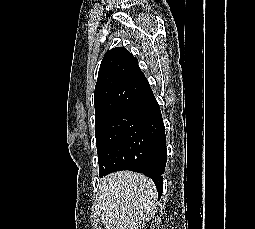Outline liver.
Segmentation results:
<instances>
[{
    "mask_svg": "<svg viewBox=\"0 0 255 229\" xmlns=\"http://www.w3.org/2000/svg\"><path fill=\"white\" fill-rule=\"evenodd\" d=\"M99 198L106 229H138L157 206L154 182L130 171L106 176L99 186Z\"/></svg>",
    "mask_w": 255,
    "mask_h": 229,
    "instance_id": "6515ba94",
    "label": "liver"
}]
</instances>
